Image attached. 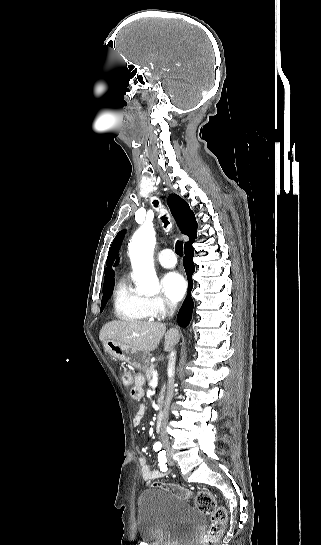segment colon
<instances>
[{"mask_svg":"<svg viewBox=\"0 0 321 545\" xmlns=\"http://www.w3.org/2000/svg\"><path fill=\"white\" fill-rule=\"evenodd\" d=\"M118 373L125 386L129 387L132 385V377L126 367H120ZM158 487L169 491L179 498L187 499L191 497V494L186 489L176 484H160ZM193 502L198 510L209 515L211 519V524L206 535L201 540L200 545H216L225 529L227 520L225 508L217 504L214 494L206 491L195 494Z\"/></svg>","mask_w":321,"mask_h":545,"instance_id":"5ec220e1","label":"colon"}]
</instances>
